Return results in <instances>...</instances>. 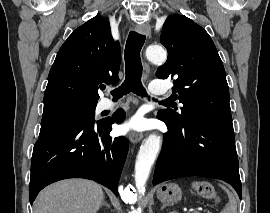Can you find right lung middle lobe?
<instances>
[{
  "label": "right lung middle lobe",
  "mask_w": 270,
  "mask_h": 213,
  "mask_svg": "<svg viewBox=\"0 0 270 213\" xmlns=\"http://www.w3.org/2000/svg\"><path fill=\"white\" fill-rule=\"evenodd\" d=\"M95 108L96 103L73 100L61 101L44 106L42 119L51 117H70L95 123Z\"/></svg>",
  "instance_id": "right-lung-middle-lobe-1"
}]
</instances>
